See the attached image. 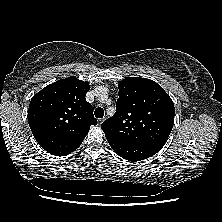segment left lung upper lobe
<instances>
[{"label": "left lung upper lobe", "mask_w": 222, "mask_h": 222, "mask_svg": "<svg viewBox=\"0 0 222 222\" xmlns=\"http://www.w3.org/2000/svg\"><path fill=\"white\" fill-rule=\"evenodd\" d=\"M118 88L116 113L101 125L106 138L162 148L174 125L169 95L155 81L141 77H126Z\"/></svg>", "instance_id": "left-lung-upper-lobe-1"}]
</instances>
